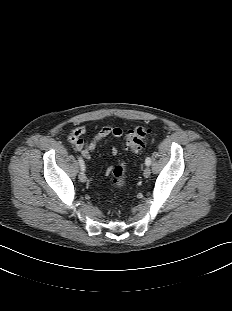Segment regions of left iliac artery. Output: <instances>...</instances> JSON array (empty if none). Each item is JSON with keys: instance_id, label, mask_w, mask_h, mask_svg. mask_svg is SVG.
Listing matches in <instances>:
<instances>
[{"instance_id": "obj_1", "label": "left iliac artery", "mask_w": 232, "mask_h": 311, "mask_svg": "<svg viewBox=\"0 0 232 311\" xmlns=\"http://www.w3.org/2000/svg\"><path fill=\"white\" fill-rule=\"evenodd\" d=\"M145 164L147 166H149L151 164V158L150 157H147L146 160H145Z\"/></svg>"}]
</instances>
